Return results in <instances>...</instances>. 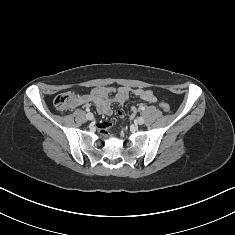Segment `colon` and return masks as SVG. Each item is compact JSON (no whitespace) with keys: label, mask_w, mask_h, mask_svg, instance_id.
<instances>
[{"label":"colon","mask_w":235,"mask_h":235,"mask_svg":"<svg viewBox=\"0 0 235 235\" xmlns=\"http://www.w3.org/2000/svg\"><path fill=\"white\" fill-rule=\"evenodd\" d=\"M78 100V97L73 92L61 93L55 97L54 106L58 111L66 112L75 107L78 103ZM159 106L165 112H168L170 110L168 103L164 101H161L159 103Z\"/></svg>","instance_id":"1"}]
</instances>
